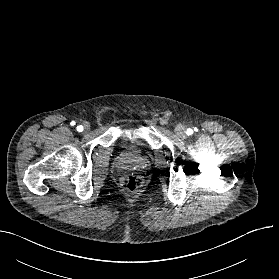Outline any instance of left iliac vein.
<instances>
[{
  "instance_id": "left-iliac-vein-1",
  "label": "left iliac vein",
  "mask_w": 279,
  "mask_h": 279,
  "mask_svg": "<svg viewBox=\"0 0 279 279\" xmlns=\"http://www.w3.org/2000/svg\"><path fill=\"white\" fill-rule=\"evenodd\" d=\"M175 132H176V135L180 138H185L186 137V131H185L184 126H182V125L176 126Z\"/></svg>"
}]
</instances>
